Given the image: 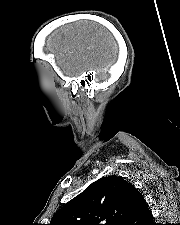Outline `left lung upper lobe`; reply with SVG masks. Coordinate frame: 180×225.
Returning a JSON list of instances; mask_svg holds the SVG:
<instances>
[{"instance_id": "left-lung-upper-lobe-1", "label": "left lung upper lobe", "mask_w": 180, "mask_h": 225, "mask_svg": "<svg viewBox=\"0 0 180 225\" xmlns=\"http://www.w3.org/2000/svg\"><path fill=\"white\" fill-rule=\"evenodd\" d=\"M146 206L132 184L118 176H106L66 203L49 225H125Z\"/></svg>"}]
</instances>
